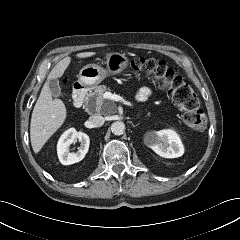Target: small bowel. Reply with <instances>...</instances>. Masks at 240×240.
<instances>
[{
	"instance_id": "small-bowel-1",
	"label": "small bowel",
	"mask_w": 240,
	"mask_h": 240,
	"mask_svg": "<svg viewBox=\"0 0 240 240\" xmlns=\"http://www.w3.org/2000/svg\"><path fill=\"white\" fill-rule=\"evenodd\" d=\"M150 95L151 90L147 87H143L137 92L136 98L138 101H146Z\"/></svg>"
}]
</instances>
